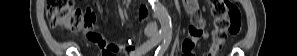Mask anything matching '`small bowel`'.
Returning <instances> with one entry per match:
<instances>
[{"instance_id":"1","label":"small bowel","mask_w":297,"mask_h":56,"mask_svg":"<svg viewBox=\"0 0 297 56\" xmlns=\"http://www.w3.org/2000/svg\"><path fill=\"white\" fill-rule=\"evenodd\" d=\"M117 4L121 1L116 0ZM186 10L192 15V21L189 27V37L185 39L181 45L183 56H193L192 49L196 41L200 38H207L208 33L205 30L206 22L202 16L199 15L198 4L194 0L185 2ZM146 10H142L141 16L145 17ZM84 38L89 41V45H95V49H103L102 56H112L115 52L121 51L127 55L133 53V49L122 43H111L108 41V36H103V33H84ZM136 55H138L136 53Z\"/></svg>"}]
</instances>
